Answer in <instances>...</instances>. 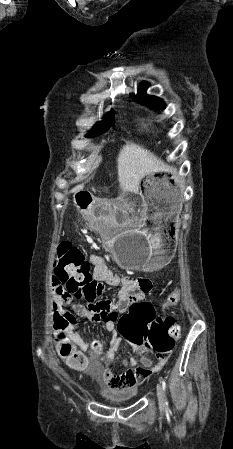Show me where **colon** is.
<instances>
[{"mask_svg": "<svg viewBox=\"0 0 233 449\" xmlns=\"http://www.w3.org/2000/svg\"><path fill=\"white\" fill-rule=\"evenodd\" d=\"M57 269L64 277L67 294L75 299L88 303L96 302L92 296L97 285L91 278V266L81 250L69 242L63 241L58 247ZM181 290L176 288L170 293L163 305L170 309L177 305ZM104 314L106 317H118L114 326L119 330L120 338H126L127 343H135L136 349H147L156 354H169L175 341L180 337V329L170 316H156L155 310L145 301H132L130 307L124 308V314L117 312ZM94 312V311H92ZM76 317L71 312L57 313L54 316L56 339L60 343V355L74 368H82L84 361L81 355L73 351L68 341L67 327Z\"/></svg>", "mask_w": 233, "mask_h": 449, "instance_id": "colon-1", "label": "colon"}]
</instances>
